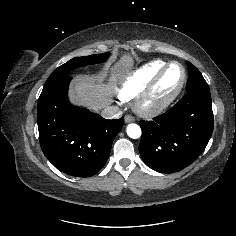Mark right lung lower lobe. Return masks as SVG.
I'll return each instance as SVG.
<instances>
[{
	"instance_id": "1",
	"label": "right lung lower lobe",
	"mask_w": 236,
	"mask_h": 236,
	"mask_svg": "<svg viewBox=\"0 0 236 236\" xmlns=\"http://www.w3.org/2000/svg\"><path fill=\"white\" fill-rule=\"evenodd\" d=\"M70 76L47 83L38 99L41 149L60 171L78 177L96 174L106 163L124 118L107 120L68 101Z\"/></svg>"
}]
</instances>
